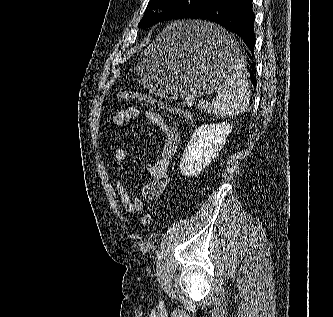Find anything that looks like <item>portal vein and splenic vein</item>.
Wrapping results in <instances>:
<instances>
[{
  "mask_svg": "<svg viewBox=\"0 0 333 317\" xmlns=\"http://www.w3.org/2000/svg\"><path fill=\"white\" fill-rule=\"evenodd\" d=\"M201 104H203V105H208V101H207V100H202V101H201ZM187 106H188V107H191V106H192V103H191V102H188V103H187Z\"/></svg>",
  "mask_w": 333,
  "mask_h": 317,
  "instance_id": "1",
  "label": "portal vein and splenic vein"
}]
</instances>
